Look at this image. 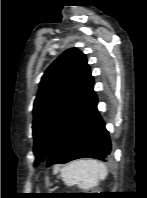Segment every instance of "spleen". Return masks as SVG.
<instances>
[{
	"label": "spleen",
	"mask_w": 147,
	"mask_h": 198,
	"mask_svg": "<svg viewBox=\"0 0 147 198\" xmlns=\"http://www.w3.org/2000/svg\"><path fill=\"white\" fill-rule=\"evenodd\" d=\"M107 175L105 164L95 159L73 161L61 169V177L66 185H77L83 190L96 187Z\"/></svg>",
	"instance_id": "obj_1"
}]
</instances>
